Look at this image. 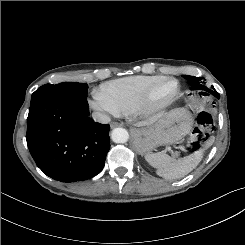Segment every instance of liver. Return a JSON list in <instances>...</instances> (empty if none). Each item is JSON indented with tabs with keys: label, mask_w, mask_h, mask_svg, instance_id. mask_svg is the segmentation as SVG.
<instances>
[{
	"label": "liver",
	"mask_w": 245,
	"mask_h": 245,
	"mask_svg": "<svg viewBox=\"0 0 245 245\" xmlns=\"http://www.w3.org/2000/svg\"><path fill=\"white\" fill-rule=\"evenodd\" d=\"M155 119H152V120H149V121H144V122H141L139 123V125H150L154 122Z\"/></svg>",
	"instance_id": "1"
}]
</instances>
